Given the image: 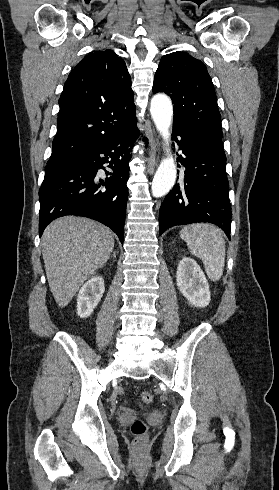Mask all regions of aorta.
<instances>
[{"mask_svg": "<svg viewBox=\"0 0 279 490\" xmlns=\"http://www.w3.org/2000/svg\"><path fill=\"white\" fill-rule=\"evenodd\" d=\"M150 112L154 124L164 139L165 157L162 159L152 181L151 192L154 197L166 195L176 181V165L171 152L170 126L173 119V106L170 98L164 94H156L151 99Z\"/></svg>", "mask_w": 279, "mask_h": 490, "instance_id": "obj_1", "label": "aorta"}]
</instances>
